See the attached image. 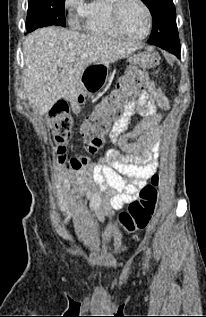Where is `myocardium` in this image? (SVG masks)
Returning a JSON list of instances; mask_svg holds the SVG:
<instances>
[{
    "label": "myocardium",
    "mask_w": 206,
    "mask_h": 317,
    "mask_svg": "<svg viewBox=\"0 0 206 317\" xmlns=\"http://www.w3.org/2000/svg\"><path fill=\"white\" fill-rule=\"evenodd\" d=\"M130 1H135L139 3L144 9L147 16V29L145 33L141 36L128 35L121 26L120 21H121L122 10L124 6ZM109 16H110V22L114 31L118 34V36L123 37L127 40L141 41L146 39L151 33L152 25H153V16L149 6L146 4L144 0H111L109 4Z\"/></svg>",
    "instance_id": "1"
}]
</instances>
